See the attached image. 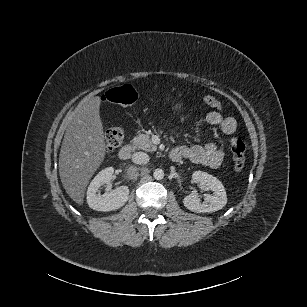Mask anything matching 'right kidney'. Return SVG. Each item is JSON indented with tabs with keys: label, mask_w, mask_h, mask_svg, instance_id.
Returning a JSON list of instances; mask_svg holds the SVG:
<instances>
[{
	"label": "right kidney",
	"mask_w": 307,
	"mask_h": 307,
	"mask_svg": "<svg viewBox=\"0 0 307 307\" xmlns=\"http://www.w3.org/2000/svg\"><path fill=\"white\" fill-rule=\"evenodd\" d=\"M114 173L113 167L100 171L91 181L87 190V203L96 211H112L121 208L128 201L129 189L127 186L117 187L115 190L99 193L102 185H109Z\"/></svg>",
	"instance_id": "ca27d5eb"
}]
</instances>
